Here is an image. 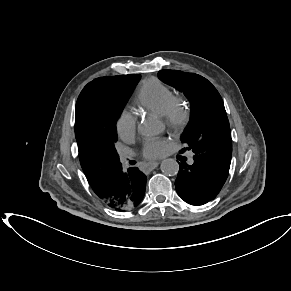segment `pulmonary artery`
I'll list each match as a JSON object with an SVG mask.
<instances>
[{
	"label": "pulmonary artery",
	"mask_w": 291,
	"mask_h": 291,
	"mask_svg": "<svg viewBox=\"0 0 291 291\" xmlns=\"http://www.w3.org/2000/svg\"><path fill=\"white\" fill-rule=\"evenodd\" d=\"M124 160H125V158H123V161H124ZM193 161H194V160H193V157H190V158H189V163L192 164Z\"/></svg>",
	"instance_id": "pulmonary-artery-1"
}]
</instances>
